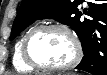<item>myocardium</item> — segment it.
Segmentation results:
<instances>
[{
	"mask_svg": "<svg viewBox=\"0 0 107 75\" xmlns=\"http://www.w3.org/2000/svg\"><path fill=\"white\" fill-rule=\"evenodd\" d=\"M50 30H55V31H60L64 33L72 42L73 48H74V56L72 60L64 65H58V66H51V65H45L41 64L38 61H36L30 54L29 52V44L32 40V38L43 31H50ZM22 57L23 60L31 67L34 69L42 70V71H63V70H68L73 67H75L81 60L82 58V46L80 43L79 38L77 35L67 26L59 23H49V24H43L39 25L32 30H30L22 43Z\"/></svg>",
	"mask_w": 107,
	"mask_h": 75,
	"instance_id": "myocardium-1",
	"label": "myocardium"
}]
</instances>
